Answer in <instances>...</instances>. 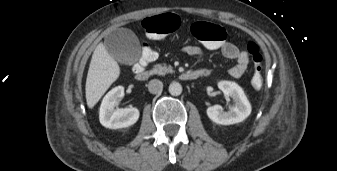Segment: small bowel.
Instances as JSON below:
<instances>
[{
    "label": "small bowel",
    "mask_w": 337,
    "mask_h": 171,
    "mask_svg": "<svg viewBox=\"0 0 337 171\" xmlns=\"http://www.w3.org/2000/svg\"><path fill=\"white\" fill-rule=\"evenodd\" d=\"M219 50L225 58L235 61V65L230 68L229 74L234 78L241 77L245 73L250 61L248 53L246 51L240 50L232 42H224L223 46L219 48ZM184 52L191 56H204V51L202 48L196 45L186 46L184 48Z\"/></svg>",
    "instance_id": "1"
}]
</instances>
